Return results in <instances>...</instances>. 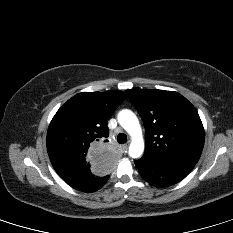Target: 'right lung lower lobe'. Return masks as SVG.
<instances>
[{
	"label": "right lung lower lobe",
	"mask_w": 233,
	"mask_h": 233,
	"mask_svg": "<svg viewBox=\"0 0 233 233\" xmlns=\"http://www.w3.org/2000/svg\"><path fill=\"white\" fill-rule=\"evenodd\" d=\"M109 175L95 176L94 174L82 175L64 179L72 188L82 192H95L100 189L108 180Z\"/></svg>",
	"instance_id": "obj_1"
}]
</instances>
